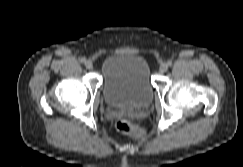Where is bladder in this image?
<instances>
[{
	"mask_svg": "<svg viewBox=\"0 0 243 167\" xmlns=\"http://www.w3.org/2000/svg\"><path fill=\"white\" fill-rule=\"evenodd\" d=\"M103 96L114 109L137 110L153 102L146 60L132 53H114L102 63Z\"/></svg>",
	"mask_w": 243,
	"mask_h": 167,
	"instance_id": "31cf9c89",
	"label": "bladder"
}]
</instances>
